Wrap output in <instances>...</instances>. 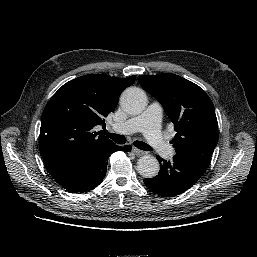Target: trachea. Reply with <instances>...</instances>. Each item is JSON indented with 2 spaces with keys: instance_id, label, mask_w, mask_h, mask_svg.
Listing matches in <instances>:
<instances>
[{
  "instance_id": "3493384b",
  "label": "trachea",
  "mask_w": 257,
  "mask_h": 257,
  "mask_svg": "<svg viewBox=\"0 0 257 257\" xmlns=\"http://www.w3.org/2000/svg\"><path fill=\"white\" fill-rule=\"evenodd\" d=\"M103 133L106 134L109 138H111L114 142L118 144H124L126 142V138L123 135L109 133L107 130H104ZM134 145L141 150H145V151L152 150L148 144L142 141H135Z\"/></svg>"
}]
</instances>
